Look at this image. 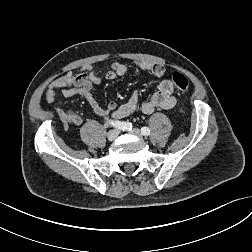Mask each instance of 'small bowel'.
<instances>
[{"label": "small bowel", "instance_id": "small-bowel-1", "mask_svg": "<svg viewBox=\"0 0 252 252\" xmlns=\"http://www.w3.org/2000/svg\"><path fill=\"white\" fill-rule=\"evenodd\" d=\"M136 66L149 72L155 78L161 79L158 90L151 98L141 105L139 103V92L134 91L127 102L118 105L111 101L105 107L102 106L92 94L93 85L101 83L104 79L116 80L122 78L127 73V66L120 62H113L103 76L97 74L90 66L82 70L65 75L54 80L47 88L45 93L46 101L49 103L57 99V92L61 91L64 97L79 95L85 99L92 111L100 117H111L121 120L128 117L136 109L140 108L144 114H152L157 109H170L176 104V97L173 95L174 85L168 78H163L165 69L162 65L146 61H137ZM57 116L71 124L78 126L82 123V117L71 111L60 108L55 109Z\"/></svg>", "mask_w": 252, "mask_h": 252}]
</instances>
